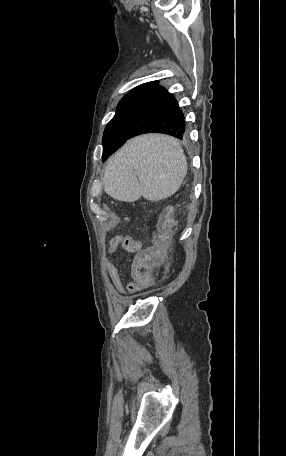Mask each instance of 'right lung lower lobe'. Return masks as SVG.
I'll return each mask as SVG.
<instances>
[{"instance_id":"obj_1","label":"right lung lower lobe","mask_w":286,"mask_h":456,"mask_svg":"<svg viewBox=\"0 0 286 456\" xmlns=\"http://www.w3.org/2000/svg\"><path fill=\"white\" fill-rule=\"evenodd\" d=\"M121 101L129 130L127 139L148 132L166 133L178 139L185 137L184 114L174 96L157 83L137 89Z\"/></svg>"}]
</instances>
